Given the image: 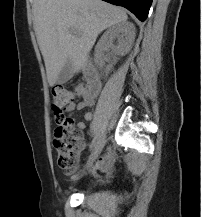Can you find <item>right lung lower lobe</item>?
<instances>
[{"instance_id": "98d812e1", "label": "right lung lower lobe", "mask_w": 202, "mask_h": 217, "mask_svg": "<svg viewBox=\"0 0 202 217\" xmlns=\"http://www.w3.org/2000/svg\"><path fill=\"white\" fill-rule=\"evenodd\" d=\"M108 3L123 6L131 11L140 21H144L152 4V0H104Z\"/></svg>"}]
</instances>
